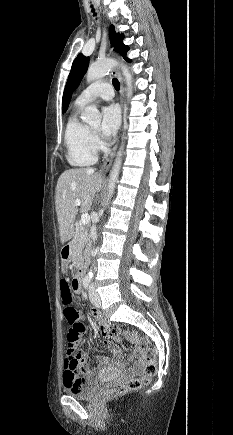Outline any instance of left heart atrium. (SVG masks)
I'll return each mask as SVG.
<instances>
[{
  "instance_id": "39dd6f15",
  "label": "left heart atrium",
  "mask_w": 233,
  "mask_h": 435,
  "mask_svg": "<svg viewBox=\"0 0 233 435\" xmlns=\"http://www.w3.org/2000/svg\"><path fill=\"white\" fill-rule=\"evenodd\" d=\"M120 124V112L116 105H108L102 110L101 133L104 139L110 140L118 130Z\"/></svg>"
}]
</instances>
